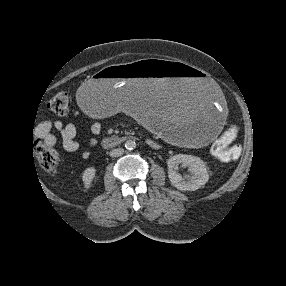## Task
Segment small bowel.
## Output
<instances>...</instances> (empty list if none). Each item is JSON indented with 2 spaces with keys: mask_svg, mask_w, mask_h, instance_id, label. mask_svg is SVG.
I'll return each instance as SVG.
<instances>
[{
  "mask_svg": "<svg viewBox=\"0 0 286 286\" xmlns=\"http://www.w3.org/2000/svg\"><path fill=\"white\" fill-rule=\"evenodd\" d=\"M57 131L60 135L61 145L63 149L70 153L80 151L84 159H88L92 155L93 149L98 144V136L102 131L101 124L98 122L92 123L90 126L91 137L88 140L87 146L81 149L79 142L76 140L77 128L74 124L64 123L62 121H45L37 125L35 134L37 137L44 139L45 143L54 146L57 143V137L52 132ZM241 149L238 145L230 148V159L235 160L240 156Z\"/></svg>",
  "mask_w": 286,
  "mask_h": 286,
  "instance_id": "1",
  "label": "small bowel"
}]
</instances>
